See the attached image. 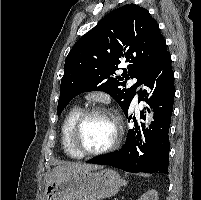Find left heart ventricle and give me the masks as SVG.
Listing matches in <instances>:
<instances>
[{
  "label": "left heart ventricle",
  "mask_w": 201,
  "mask_h": 200,
  "mask_svg": "<svg viewBox=\"0 0 201 200\" xmlns=\"http://www.w3.org/2000/svg\"><path fill=\"white\" fill-rule=\"evenodd\" d=\"M115 125L111 118L93 115L82 124L78 140L82 149L95 151L107 146L114 138Z\"/></svg>",
  "instance_id": "b2bd125f"
}]
</instances>
